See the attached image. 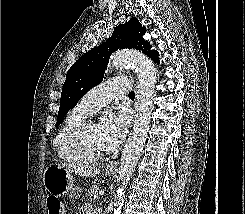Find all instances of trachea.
Wrapping results in <instances>:
<instances>
[{"mask_svg":"<svg viewBox=\"0 0 245 214\" xmlns=\"http://www.w3.org/2000/svg\"><path fill=\"white\" fill-rule=\"evenodd\" d=\"M129 97H130V98H134V97H135L134 91L129 92Z\"/></svg>","mask_w":245,"mask_h":214,"instance_id":"trachea-1","label":"trachea"}]
</instances>
